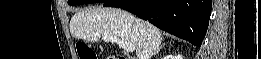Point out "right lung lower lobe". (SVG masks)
I'll return each mask as SVG.
<instances>
[{
	"instance_id": "right-lung-lower-lobe-1",
	"label": "right lung lower lobe",
	"mask_w": 261,
	"mask_h": 59,
	"mask_svg": "<svg viewBox=\"0 0 261 59\" xmlns=\"http://www.w3.org/2000/svg\"><path fill=\"white\" fill-rule=\"evenodd\" d=\"M104 6L125 9L200 47L208 28L212 0H106Z\"/></svg>"
}]
</instances>
